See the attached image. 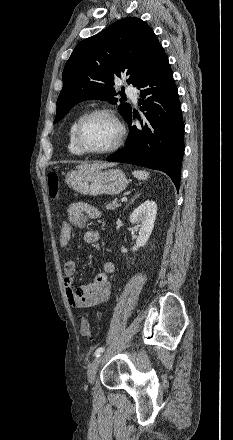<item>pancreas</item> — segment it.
I'll return each mask as SVG.
<instances>
[{
	"mask_svg": "<svg viewBox=\"0 0 233 440\" xmlns=\"http://www.w3.org/2000/svg\"><path fill=\"white\" fill-rule=\"evenodd\" d=\"M120 206V204H118L117 200H114L110 203H108L105 208L107 210H115L116 208H118Z\"/></svg>",
	"mask_w": 233,
	"mask_h": 440,
	"instance_id": "obj_1",
	"label": "pancreas"
}]
</instances>
